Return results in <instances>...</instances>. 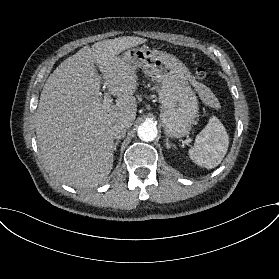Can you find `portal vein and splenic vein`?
<instances>
[{"mask_svg":"<svg viewBox=\"0 0 279 279\" xmlns=\"http://www.w3.org/2000/svg\"><path fill=\"white\" fill-rule=\"evenodd\" d=\"M104 100L110 102V99L108 98L107 95L104 96Z\"/></svg>","mask_w":279,"mask_h":279,"instance_id":"1","label":"portal vein and splenic vein"}]
</instances>
